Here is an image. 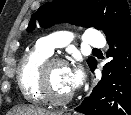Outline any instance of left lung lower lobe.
I'll return each instance as SVG.
<instances>
[{"label":"left lung lower lobe","mask_w":131,"mask_h":115,"mask_svg":"<svg viewBox=\"0 0 131 115\" xmlns=\"http://www.w3.org/2000/svg\"><path fill=\"white\" fill-rule=\"evenodd\" d=\"M106 39V55L113 60L103 67L102 79L75 111L84 115H131V16Z\"/></svg>","instance_id":"left-lung-lower-lobe-1"}]
</instances>
